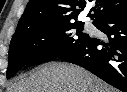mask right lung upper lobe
Here are the masks:
<instances>
[{
    "mask_svg": "<svg viewBox=\"0 0 127 92\" xmlns=\"http://www.w3.org/2000/svg\"><path fill=\"white\" fill-rule=\"evenodd\" d=\"M92 0H30L21 16L12 39L17 38L33 27L61 26L77 21L81 10ZM88 14L93 23L101 18L127 9V0H96ZM79 7L80 9H76Z\"/></svg>",
    "mask_w": 127,
    "mask_h": 92,
    "instance_id": "1",
    "label": "right lung upper lobe"
}]
</instances>
